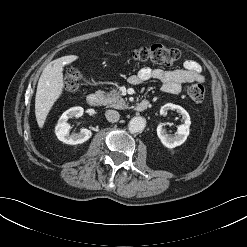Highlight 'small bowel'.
Listing matches in <instances>:
<instances>
[{"label": "small bowel", "instance_id": "1", "mask_svg": "<svg viewBox=\"0 0 247 247\" xmlns=\"http://www.w3.org/2000/svg\"><path fill=\"white\" fill-rule=\"evenodd\" d=\"M156 79L163 83L162 90L166 93L177 94L186 83H203L205 81L201 66L194 60H186L182 69L164 70L161 68H141L137 74L129 77V82L138 85L143 81Z\"/></svg>", "mask_w": 247, "mask_h": 247}]
</instances>
